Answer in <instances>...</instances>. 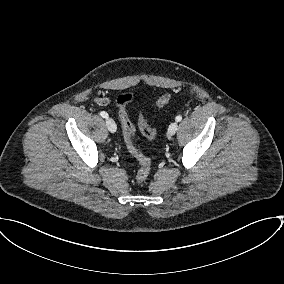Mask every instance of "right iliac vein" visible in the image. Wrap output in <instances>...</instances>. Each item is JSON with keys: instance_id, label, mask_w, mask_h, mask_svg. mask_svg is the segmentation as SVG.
<instances>
[{"instance_id": "right-iliac-vein-1", "label": "right iliac vein", "mask_w": 284, "mask_h": 284, "mask_svg": "<svg viewBox=\"0 0 284 284\" xmlns=\"http://www.w3.org/2000/svg\"><path fill=\"white\" fill-rule=\"evenodd\" d=\"M106 126L111 133H115L117 130V125L112 118L106 119Z\"/></svg>"}]
</instances>
